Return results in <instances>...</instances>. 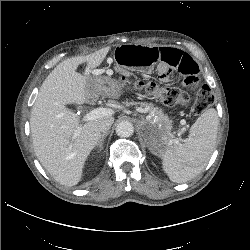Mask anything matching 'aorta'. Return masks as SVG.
<instances>
[{
    "mask_svg": "<svg viewBox=\"0 0 250 250\" xmlns=\"http://www.w3.org/2000/svg\"><path fill=\"white\" fill-rule=\"evenodd\" d=\"M134 132L133 124L129 121H122L116 126V134L120 137H130Z\"/></svg>",
    "mask_w": 250,
    "mask_h": 250,
    "instance_id": "1",
    "label": "aorta"
}]
</instances>
